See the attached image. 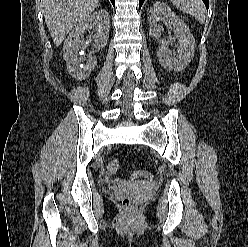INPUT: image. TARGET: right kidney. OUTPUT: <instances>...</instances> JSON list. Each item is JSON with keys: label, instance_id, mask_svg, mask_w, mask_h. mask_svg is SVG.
I'll return each mask as SVG.
<instances>
[{"label": "right kidney", "instance_id": "obj_1", "mask_svg": "<svg viewBox=\"0 0 248 247\" xmlns=\"http://www.w3.org/2000/svg\"><path fill=\"white\" fill-rule=\"evenodd\" d=\"M110 29V15L106 10L95 11L86 16L82 21L75 25L74 29L64 42L63 58L66 61L67 69L71 76L76 80L86 79L97 64L93 55L95 52L107 45ZM94 31V34H90ZM93 38V52L87 57H79V51L85 43V34ZM86 61V64L83 62Z\"/></svg>", "mask_w": 248, "mask_h": 247}]
</instances>
